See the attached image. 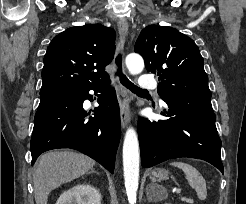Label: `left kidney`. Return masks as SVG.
I'll use <instances>...</instances> for the list:
<instances>
[{"mask_svg":"<svg viewBox=\"0 0 246 204\" xmlns=\"http://www.w3.org/2000/svg\"><path fill=\"white\" fill-rule=\"evenodd\" d=\"M164 204H171V203L166 202V203H164Z\"/></svg>","mask_w":246,"mask_h":204,"instance_id":"obj_1","label":"left kidney"}]
</instances>
